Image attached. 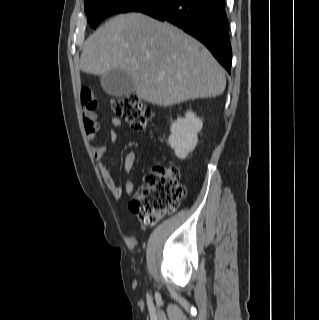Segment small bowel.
Returning <instances> with one entry per match:
<instances>
[{
    "label": "small bowel",
    "instance_id": "c3829d8e",
    "mask_svg": "<svg viewBox=\"0 0 319 320\" xmlns=\"http://www.w3.org/2000/svg\"><path fill=\"white\" fill-rule=\"evenodd\" d=\"M81 103L83 105V123L86 134L90 141L95 142L97 139V133L100 129V124L97 121V114L95 110L96 102L94 101L93 92L91 89L82 88ZM112 125L115 129L122 127L121 119L118 117H114L112 119ZM115 129L110 132V137L113 141H116L119 136L118 132ZM106 151V147L102 145H95L92 149L93 157L98 163L99 172L103 182L116 199H121L123 197L124 191L129 195L134 194L136 187L133 181H128L126 183L125 189H123L118 185L109 169L103 164L102 161L105 157ZM136 159L137 155L135 152H128L125 155L123 162V168L125 172L129 173L133 169Z\"/></svg>",
    "mask_w": 319,
    "mask_h": 320
}]
</instances>
